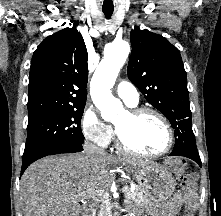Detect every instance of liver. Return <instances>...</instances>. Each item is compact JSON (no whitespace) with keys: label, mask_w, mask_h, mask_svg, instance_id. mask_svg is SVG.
<instances>
[{"label":"liver","mask_w":221,"mask_h":216,"mask_svg":"<svg viewBox=\"0 0 221 216\" xmlns=\"http://www.w3.org/2000/svg\"><path fill=\"white\" fill-rule=\"evenodd\" d=\"M118 164L142 166L147 163L135 158L114 157L105 152L90 155L86 151L48 156L32 163L20 181L24 215L80 216L79 195L88 190L110 187Z\"/></svg>","instance_id":"obj_1"}]
</instances>
